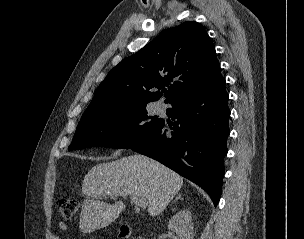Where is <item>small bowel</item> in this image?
Here are the masks:
<instances>
[{
    "mask_svg": "<svg viewBox=\"0 0 304 239\" xmlns=\"http://www.w3.org/2000/svg\"><path fill=\"white\" fill-rule=\"evenodd\" d=\"M58 230H59L60 232L66 231V230H67V225H66V223H64V222H59V223H58ZM51 239H61V237H60L59 234L55 233V234L52 235Z\"/></svg>",
    "mask_w": 304,
    "mask_h": 239,
    "instance_id": "small-bowel-1",
    "label": "small bowel"
}]
</instances>
